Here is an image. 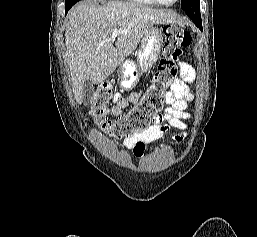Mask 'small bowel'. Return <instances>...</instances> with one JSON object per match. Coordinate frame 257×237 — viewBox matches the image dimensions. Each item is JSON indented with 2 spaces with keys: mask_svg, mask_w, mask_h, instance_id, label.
<instances>
[{
  "mask_svg": "<svg viewBox=\"0 0 257 237\" xmlns=\"http://www.w3.org/2000/svg\"><path fill=\"white\" fill-rule=\"evenodd\" d=\"M182 78L175 80L165 95L167 107L162 113L156 115L153 123L145 130L124 140L123 145L131 150L136 157H142L145 145L158 141L171 129L176 128L181 132L171 136L172 140L182 141L186 137L185 121L190 117L186 112L187 103L193 99L189 85L195 79V71L191 64H180ZM141 97V92H132L127 96L117 94L111 108L113 115H120L123 109L131 103H136Z\"/></svg>",
  "mask_w": 257,
  "mask_h": 237,
  "instance_id": "small-bowel-1",
  "label": "small bowel"
}]
</instances>
